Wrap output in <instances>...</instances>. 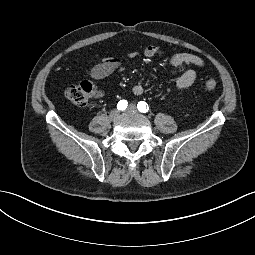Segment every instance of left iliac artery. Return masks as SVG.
<instances>
[{"instance_id":"obj_1","label":"left iliac artery","mask_w":255,"mask_h":255,"mask_svg":"<svg viewBox=\"0 0 255 255\" xmlns=\"http://www.w3.org/2000/svg\"><path fill=\"white\" fill-rule=\"evenodd\" d=\"M137 109L142 113H146L149 110V107L146 102L140 101L137 104Z\"/></svg>"}]
</instances>
